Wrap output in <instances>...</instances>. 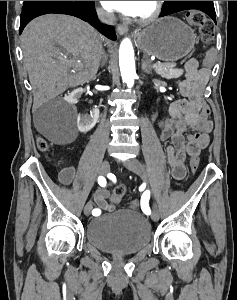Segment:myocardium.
<instances>
[{
	"label": "myocardium",
	"instance_id": "1",
	"mask_svg": "<svg viewBox=\"0 0 237 300\" xmlns=\"http://www.w3.org/2000/svg\"><path fill=\"white\" fill-rule=\"evenodd\" d=\"M164 1H151V10L144 16L134 18V22L139 25H148L158 19L162 12Z\"/></svg>",
	"mask_w": 237,
	"mask_h": 300
}]
</instances>
